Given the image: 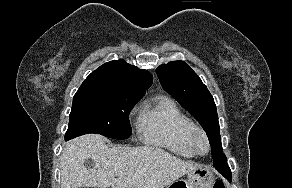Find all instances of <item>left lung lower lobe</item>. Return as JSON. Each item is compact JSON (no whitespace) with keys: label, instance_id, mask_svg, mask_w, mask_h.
<instances>
[{"label":"left lung lower lobe","instance_id":"0a47b994","mask_svg":"<svg viewBox=\"0 0 292 188\" xmlns=\"http://www.w3.org/2000/svg\"><path fill=\"white\" fill-rule=\"evenodd\" d=\"M222 166L225 167V168H228L227 161H225L221 166H215V168H216L219 172L225 174V171L223 170V167H222Z\"/></svg>","mask_w":292,"mask_h":188}]
</instances>
